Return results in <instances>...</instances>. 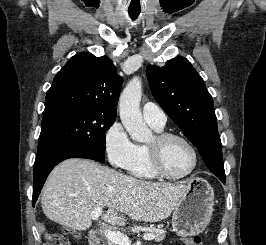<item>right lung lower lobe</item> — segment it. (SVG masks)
Here are the masks:
<instances>
[{
    "label": "right lung lower lobe",
    "instance_id": "1",
    "mask_svg": "<svg viewBox=\"0 0 266 245\" xmlns=\"http://www.w3.org/2000/svg\"><path fill=\"white\" fill-rule=\"evenodd\" d=\"M68 158H86L99 162L103 161L90 151L69 146H57L38 153L33 171V206H35V202L37 201L43 184L51 170L58 163Z\"/></svg>",
    "mask_w": 266,
    "mask_h": 245
}]
</instances>
